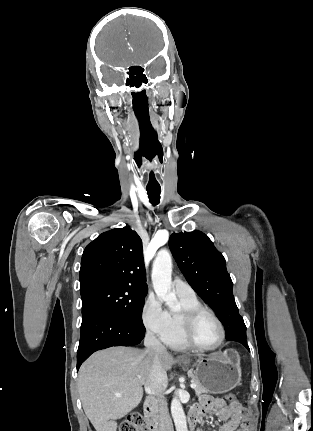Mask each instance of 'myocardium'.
I'll return each instance as SVG.
<instances>
[{"instance_id": "myocardium-1", "label": "myocardium", "mask_w": 313, "mask_h": 431, "mask_svg": "<svg viewBox=\"0 0 313 431\" xmlns=\"http://www.w3.org/2000/svg\"><path fill=\"white\" fill-rule=\"evenodd\" d=\"M204 314H208L213 318L220 330V338L219 341L213 346H202L198 344L193 337V331L197 320ZM182 336L186 344L194 349L200 351H212L220 348L225 341V328L222 321L219 317L209 308L207 307H196L192 309H188L182 312Z\"/></svg>"}]
</instances>
